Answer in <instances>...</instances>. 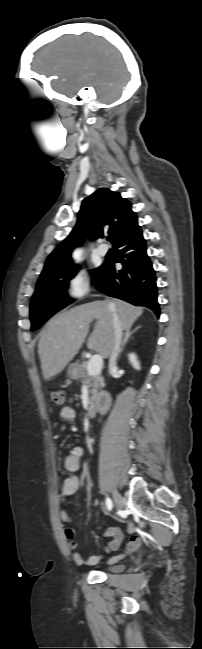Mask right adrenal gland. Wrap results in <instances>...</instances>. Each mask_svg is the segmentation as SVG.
Instances as JSON below:
<instances>
[{
  "label": "right adrenal gland",
  "mask_w": 202,
  "mask_h": 649,
  "mask_svg": "<svg viewBox=\"0 0 202 649\" xmlns=\"http://www.w3.org/2000/svg\"><path fill=\"white\" fill-rule=\"evenodd\" d=\"M138 329H140V326L137 327V328H135V329L132 330V331H131V328H128V329L125 330L124 338H123V341H122V344H121V348H120V351H119V354H118V359L120 358L121 353L123 352L124 347H125V345H126L128 339H129V338H130V337H131V336H132V335H133V334H134Z\"/></svg>",
  "instance_id": "2a0ac1e0"
}]
</instances>
